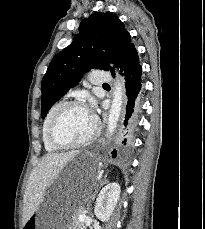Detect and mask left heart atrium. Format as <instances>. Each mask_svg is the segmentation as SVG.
<instances>
[{
    "instance_id": "left-heart-atrium-1",
    "label": "left heart atrium",
    "mask_w": 205,
    "mask_h": 229,
    "mask_svg": "<svg viewBox=\"0 0 205 229\" xmlns=\"http://www.w3.org/2000/svg\"><path fill=\"white\" fill-rule=\"evenodd\" d=\"M90 113L92 114V109H89Z\"/></svg>"
}]
</instances>
